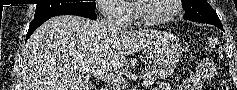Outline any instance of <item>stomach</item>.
<instances>
[{
    "mask_svg": "<svg viewBox=\"0 0 237 90\" xmlns=\"http://www.w3.org/2000/svg\"><path fill=\"white\" fill-rule=\"evenodd\" d=\"M146 57L159 67L171 66L181 57L182 49L168 39L156 37L145 48Z\"/></svg>",
    "mask_w": 237,
    "mask_h": 90,
    "instance_id": "obj_1",
    "label": "stomach"
}]
</instances>
